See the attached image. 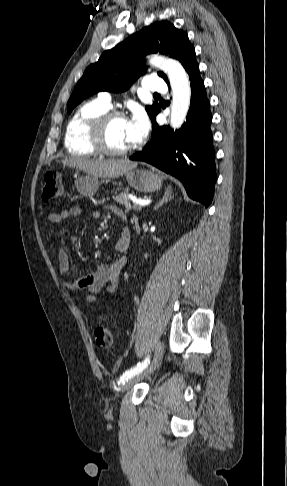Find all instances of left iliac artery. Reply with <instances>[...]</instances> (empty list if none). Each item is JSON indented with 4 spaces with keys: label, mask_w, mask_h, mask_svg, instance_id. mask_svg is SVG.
Listing matches in <instances>:
<instances>
[{
    "label": "left iliac artery",
    "mask_w": 287,
    "mask_h": 486,
    "mask_svg": "<svg viewBox=\"0 0 287 486\" xmlns=\"http://www.w3.org/2000/svg\"><path fill=\"white\" fill-rule=\"evenodd\" d=\"M148 364H149V358L147 357L142 363H138L135 367L125 371L123 375L120 377L118 384H124L125 381L142 372L147 367Z\"/></svg>",
    "instance_id": "1"
}]
</instances>
